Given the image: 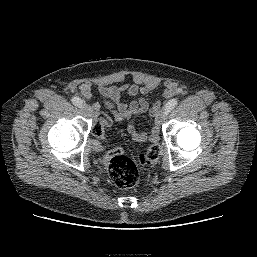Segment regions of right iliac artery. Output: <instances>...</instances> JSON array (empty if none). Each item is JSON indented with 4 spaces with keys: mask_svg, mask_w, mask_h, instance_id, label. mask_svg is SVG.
<instances>
[{
    "mask_svg": "<svg viewBox=\"0 0 257 257\" xmlns=\"http://www.w3.org/2000/svg\"><path fill=\"white\" fill-rule=\"evenodd\" d=\"M71 101L75 106L78 107H81L83 104V101L79 97H73Z\"/></svg>",
    "mask_w": 257,
    "mask_h": 257,
    "instance_id": "82829eb1",
    "label": "right iliac artery"
}]
</instances>
